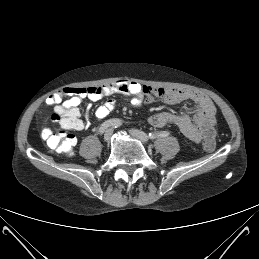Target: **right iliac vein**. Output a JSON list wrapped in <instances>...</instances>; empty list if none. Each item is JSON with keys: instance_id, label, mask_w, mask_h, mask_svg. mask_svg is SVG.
Masks as SVG:
<instances>
[{"instance_id": "63e3f726", "label": "right iliac vein", "mask_w": 259, "mask_h": 259, "mask_svg": "<svg viewBox=\"0 0 259 259\" xmlns=\"http://www.w3.org/2000/svg\"><path fill=\"white\" fill-rule=\"evenodd\" d=\"M112 129H107L103 135L105 141H109L112 135Z\"/></svg>"}]
</instances>
